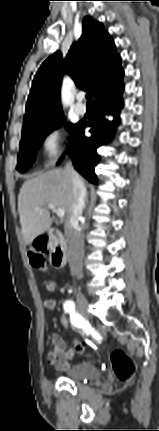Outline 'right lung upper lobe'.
Returning <instances> with one entry per match:
<instances>
[{"instance_id": "1", "label": "right lung upper lobe", "mask_w": 159, "mask_h": 431, "mask_svg": "<svg viewBox=\"0 0 159 431\" xmlns=\"http://www.w3.org/2000/svg\"><path fill=\"white\" fill-rule=\"evenodd\" d=\"M115 44L103 25L90 17L83 21V33L66 58L57 51L39 67L26 104L23 131L62 113L59 92L67 73L95 96L104 86L124 75Z\"/></svg>"}]
</instances>
